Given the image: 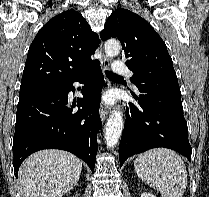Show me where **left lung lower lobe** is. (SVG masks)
Returning <instances> with one entry per match:
<instances>
[{"label": "left lung lower lobe", "instance_id": "0a47b994", "mask_svg": "<svg viewBox=\"0 0 209 197\" xmlns=\"http://www.w3.org/2000/svg\"><path fill=\"white\" fill-rule=\"evenodd\" d=\"M138 106L129 104L119 146L124 161L151 148L166 147L191 159L187 122L183 115L179 86L139 84Z\"/></svg>", "mask_w": 209, "mask_h": 197}]
</instances>
